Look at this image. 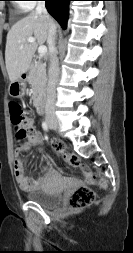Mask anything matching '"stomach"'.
<instances>
[{
	"mask_svg": "<svg viewBox=\"0 0 133 253\" xmlns=\"http://www.w3.org/2000/svg\"><path fill=\"white\" fill-rule=\"evenodd\" d=\"M26 90V79L19 78L18 80L12 82L9 86V94L13 97H22Z\"/></svg>",
	"mask_w": 133,
	"mask_h": 253,
	"instance_id": "1",
	"label": "stomach"
}]
</instances>
